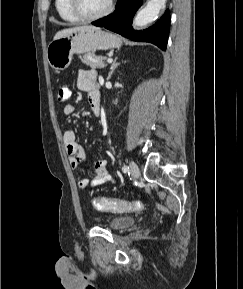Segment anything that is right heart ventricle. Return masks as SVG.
I'll return each instance as SVG.
<instances>
[{"label":"right heart ventricle","instance_id":"1","mask_svg":"<svg viewBox=\"0 0 243 289\" xmlns=\"http://www.w3.org/2000/svg\"><path fill=\"white\" fill-rule=\"evenodd\" d=\"M55 7L62 20L70 23L79 21L70 10L69 0H55Z\"/></svg>","mask_w":243,"mask_h":289}]
</instances>
